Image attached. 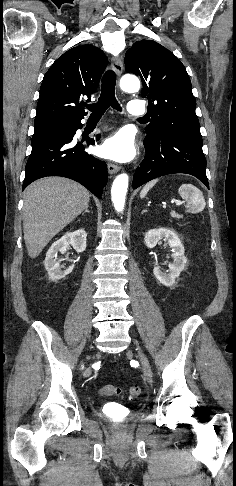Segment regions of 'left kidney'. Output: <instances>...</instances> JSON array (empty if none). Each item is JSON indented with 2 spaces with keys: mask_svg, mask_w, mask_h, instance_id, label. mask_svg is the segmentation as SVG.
Listing matches in <instances>:
<instances>
[{
  "mask_svg": "<svg viewBox=\"0 0 236 486\" xmlns=\"http://www.w3.org/2000/svg\"><path fill=\"white\" fill-rule=\"evenodd\" d=\"M164 238L172 248L173 263L169 264L167 272L161 271L159 266L154 267L153 274L156 279L164 286L170 287L175 283V279L179 277L181 271L184 269L187 258L185 257V250L178 235L169 229L159 228L151 229L145 234L144 242L148 248H154L160 239Z\"/></svg>",
  "mask_w": 236,
  "mask_h": 486,
  "instance_id": "obj_1",
  "label": "left kidney"
}]
</instances>
